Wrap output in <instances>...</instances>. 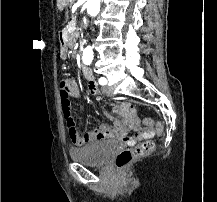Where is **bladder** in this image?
<instances>
[{"label": "bladder", "mask_w": 217, "mask_h": 202, "mask_svg": "<svg viewBox=\"0 0 217 202\" xmlns=\"http://www.w3.org/2000/svg\"><path fill=\"white\" fill-rule=\"evenodd\" d=\"M114 140H104L86 145L81 149H72L71 158L86 165H100L118 149Z\"/></svg>", "instance_id": "obj_1"}]
</instances>
